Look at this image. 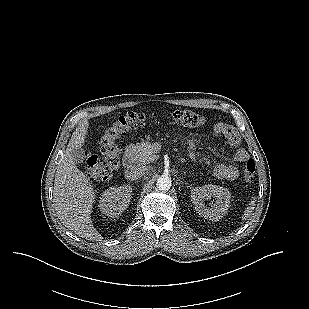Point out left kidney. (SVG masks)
Instances as JSON below:
<instances>
[{
    "instance_id": "obj_1",
    "label": "left kidney",
    "mask_w": 309,
    "mask_h": 309,
    "mask_svg": "<svg viewBox=\"0 0 309 309\" xmlns=\"http://www.w3.org/2000/svg\"><path fill=\"white\" fill-rule=\"evenodd\" d=\"M215 198L214 205L209 209L203 203L205 198ZM230 192L220 186L208 184L191 190L192 203L196 212L206 219L217 221L226 214L230 204Z\"/></svg>"
}]
</instances>
